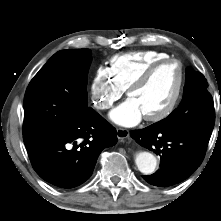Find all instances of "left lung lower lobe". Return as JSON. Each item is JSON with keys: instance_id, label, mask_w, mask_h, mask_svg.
<instances>
[{"instance_id": "left-lung-lower-lobe-1", "label": "left lung lower lobe", "mask_w": 221, "mask_h": 221, "mask_svg": "<svg viewBox=\"0 0 221 221\" xmlns=\"http://www.w3.org/2000/svg\"><path fill=\"white\" fill-rule=\"evenodd\" d=\"M138 144L161 158L160 169L143 175L146 182L159 187L175 185L188 178L205 156L211 132L199 129L165 131L155 124L130 132Z\"/></svg>"}]
</instances>
